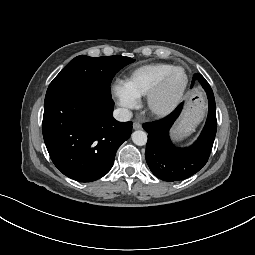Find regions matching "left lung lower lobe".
<instances>
[{"mask_svg": "<svg viewBox=\"0 0 255 255\" xmlns=\"http://www.w3.org/2000/svg\"><path fill=\"white\" fill-rule=\"evenodd\" d=\"M198 80L207 92L209 111L206 124L193 145L187 148H176L169 137V130L179 116L180 104L170 115L155 121L144 123L148 132L145 157L152 173L164 181L186 179L204 167L212 150L217 130L216 106L213 91L201 74H195L192 81Z\"/></svg>", "mask_w": 255, "mask_h": 255, "instance_id": "obj_1", "label": "left lung lower lobe"}]
</instances>
